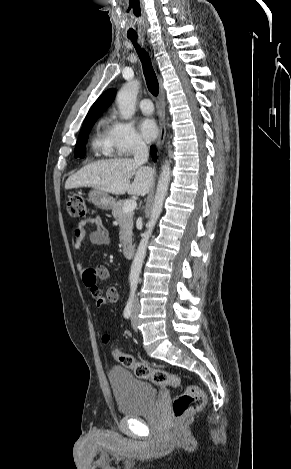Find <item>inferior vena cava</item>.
Masks as SVG:
<instances>
[{
  "instance_id": "obj_1",
  "label": "inferior vena cava",
  "mask_w": 291,
  "mask_h": 469,
  "mask_svg": "<svg viewBox=\"0 0 291 469\" xmlns=\"http://www.w3.org/2000/svg\"><path fill=\"white\" fill-rule=\"evenodd\" d=\"M134 160L138 163H145L148 160L149 152L145 142L141 138L135 140V145L133 148ZM133 305L138 306L137 299L133 300Z\"/></svg>"
}]
</instances>
